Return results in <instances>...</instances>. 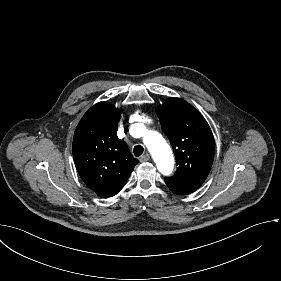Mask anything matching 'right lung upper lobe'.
<instances>
[{"label": "right lung upper lobe", "instance_id": "right-lung-upper-lobe-1", "mask_svg": "<svg viewBox=\"0 0 281 281\" xmlns=\"http://www.w3.org/2000/svg\"><path fill=\"white\" fill-rule=\"evenodd\" d=\"M120 110L107 102L91 107L79 122L73 139L76 169L98 196L117 194L138 163L127 145L118 139Z\"/></svg>", "mask_w": 281, "mask_h": 281}]
</instances>
